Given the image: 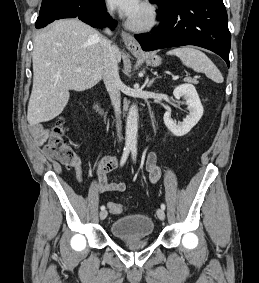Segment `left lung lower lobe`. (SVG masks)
<instances>
[{"label": "left lung lower lobe", "mask_w": 259, "mask_h": 283, "mask_svg": "<svg viewBox=\"0 0 259 283\" xmlns=\"http://www.w3.org/2000/svg\"><path fill=\"white\" fill-rule=\"evenodd\" d=\"M157 13L159 27L135 36L144 51L196 45L220 55L229 66L231 37L223 0H181Z\"/></svg>", "instance_id": "left-lung-lower-lobe-1"}]
</instances>
